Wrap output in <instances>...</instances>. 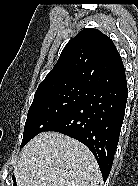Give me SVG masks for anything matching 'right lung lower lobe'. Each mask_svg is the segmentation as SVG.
Segmentation results:
<instances>
[{
	"label": "right lung lower lobe",
	"mask_w": 138,
	"mask_h": 186,
	"mask_svg": "<svg viewBox=\"0 0 138 186\" xmlns=\"http://www.w3.org/2000/svg\"><path fill=\"white\" fill-rule=\"evenodd\" d=\"M127 84L91 89L86 99L46 131L68 135L95 156L104 182L111 171L127 103Z\"/></svg>",
	"instance_id": "obj_1"
}]
</instances>
